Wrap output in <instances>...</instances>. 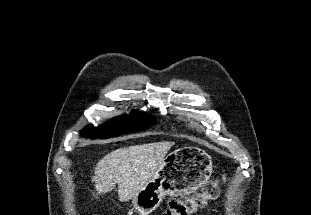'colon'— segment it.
Segmentation results:
<instances>
[{
  "label": "colon",
  "instance_id": "obj_1",
  "mask_svg": "<svg viewBox=\"0 0 311 215\" xmlns=\"http://www.w3.org/2000/svg\"><path fill=\"white\" fill-rule=\"evenodd\" d=\"M224 181L225 179L210 183L202 192L190 197L170 200L162 215H192L217 198Z\"/></svg>",
  "mask_w": 311,
  "mask_h": 215
}]
</instances>
